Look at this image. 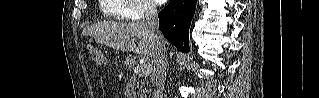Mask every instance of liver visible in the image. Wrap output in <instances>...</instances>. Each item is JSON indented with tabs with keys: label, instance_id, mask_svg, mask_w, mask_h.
<instances>
[{
	"label": "liver",
	"instance_id": "liver-1",
	"mask_svg": "<svg viewBox=\"0 0 319 98\" xmlns=\"http://www.w3.org/2000/svg\"><path fill=\"white\" fill-rule=\"evenodd\" d=\"M84 32L94 37L98 43L110 48L154 57L155 40L142 22H101L88 26ZM136 39L140 40L137 46Z\"/></svg>",
	"mask_w": 319,
	"mask_h": 98
}]
</instances>
